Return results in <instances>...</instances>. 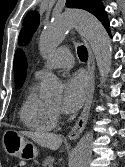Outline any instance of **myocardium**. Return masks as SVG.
<instances>
[{
    "label": "myocardium",
    "mask_w": 125,
    "mask_h": 167,
    "mask_svg": "<svg viewBox=\"0 0 125 167\" xmlns=\"http://www.w3.org/2000/svg\"><path fill=\"white\" fill-rule=\"evenodd\" d=\"M49 105V108L51 109V111L57 116L58 114V107H52L50 104Z\"/></svg>",
    "instance_id": "1"
}]
</instances>
